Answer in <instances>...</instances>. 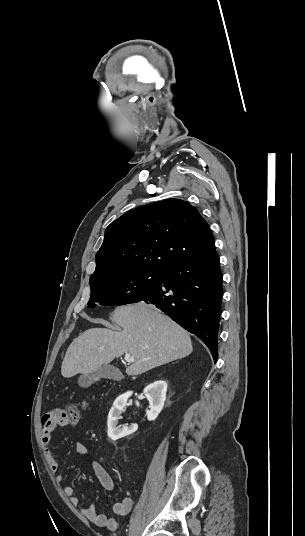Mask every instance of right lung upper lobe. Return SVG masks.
I'll return each mask as SVG.
<instances>
[{
	"instance_id": "1",
	"label": "right lung upper lobe",
	"mask_w": 305,
	"mask_h": 536,
	"mask_svg": "<svg viewBox=\"0 0 305 536\" xmlns=\"http://www.w3.org/2000/svg\"><path fill=\"white\" fill-rule=\"evenodd\" d=\"M209 225L198 210L166 199L131 210L105 231L90 281L134 271H163L215 247Z\"/></svg>"
}]
</instances>
